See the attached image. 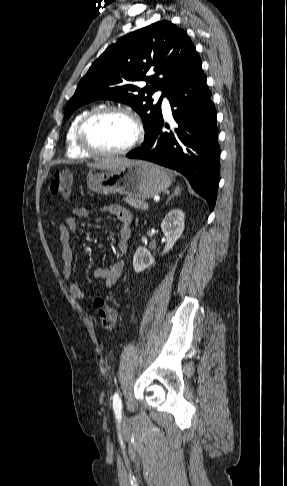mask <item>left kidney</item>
I'll return each instance as SVG.
<instances>
[{
    "mask_svg": "<svg viewBox=\"0 0 287 486\" xmlns=\"http://www.w3.org/2000/svg\"><path fill=\"white\" fill-rule=\"evenodd\" d=\"M185 214L181 209H174L168 212L161 223L162 232L166 238V245L163 253H167L184 231ZM155 259L145 247H139L133 257V268L136 273L152 266Z\"/></svg>",
    "mask_w": 287,
    "mask_h": 486,
    "instance_id": "obj_1",
    "label": "left kidney"
}]
</instances>
